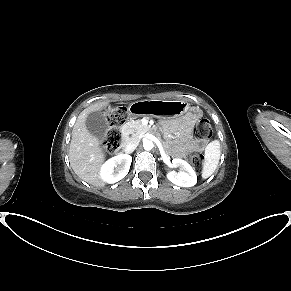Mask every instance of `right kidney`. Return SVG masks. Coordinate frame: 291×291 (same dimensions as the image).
Segmentation results:
<instances>
[{"label":"right kidney","mask_w":291,"mask_h":291,"mask_svg":"<svg viewBox=\"0 0 291 291\" xmlns=\"http://www.w3.org/2000/svg\"><path fill=\"white\" fill-rule=\"evenodd\" d=\"M132 157L127 154H119L108 159L100 168V178L109 184L123 179L129 172Z\"/></svg>","instance_id":"right-kidney-1"}]
</instances>
